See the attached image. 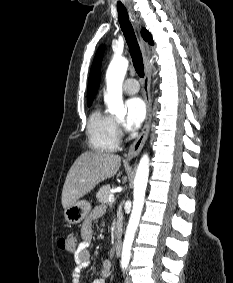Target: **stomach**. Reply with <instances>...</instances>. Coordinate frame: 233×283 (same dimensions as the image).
Here are the masks:
<instances>
[{
	"label": "stomach",
	"instance_id": "1",
	"mask_svg": "<svg viewBox=\"0 0 233 283\" xmlns=\"http://www.w3.org/2000/svg\"><path fill=\"white\" fill-rule=\"evenodd\" d=\"M91 204L85 200L78 201L64 209V217L67 223L75 225L80 223L90 212Z\"/></svg>",
	"mask_w": 233,
	"mask_h": 283
}]
</instances>
